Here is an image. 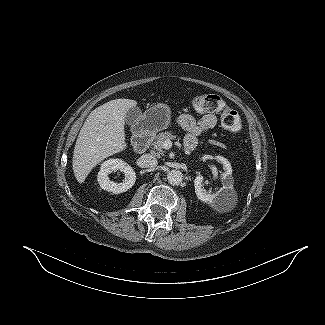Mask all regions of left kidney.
<instances>
[{
    "instance_id": "5707ae66",
    "label": "left kidney",
    "mask_w": 325,
    "mask_h": 325,
    "mask_svg": "<svg viewBox=\"0 0 325 325\" xmlns=\"http://www.w3.org/2000/svg\"><path fill=\"white\" fill-rule=\"evenodd\" d=\"M216 160L223 165L224 172L222 174V188H220L215 193L207 192L203 187V176L199 175L194 180L195 193L198 199L210 205L215 204L220 199V197H223L225 195V193L234 191V179L232 177V167L230 162L222 156H216Z\"/></svg>"
}]
</instances>
